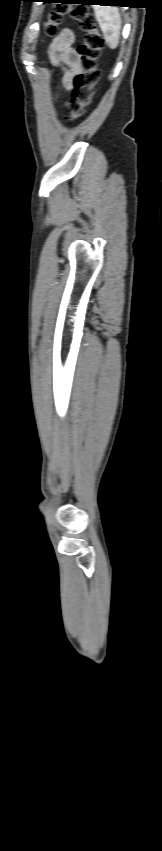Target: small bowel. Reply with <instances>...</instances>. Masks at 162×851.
I'll return each mask as SVG.
<instances>
[{"label": "small bowel", "instance_id": "c3829d8e", "mask_svg": "<svg viewBox=\"0 0 162 851\" xmlns=\"http://www.w3.org/2000/svg\"><path fill=\"white\" fill-rule=\"evenodd\" d=\"M75 34L69 29H63L52 41L49 54L53 64L61 66L64 70L62 84L66 89H71L74 79L81 72L80 58L73 47Z\"/></svg>", "mask_w": 162, "mask_h": 851}]
</instances>
